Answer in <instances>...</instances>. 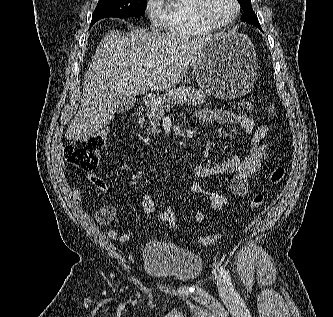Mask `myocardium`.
<instances>
[{"instance_id": "1", "label": "myocardium", "mask_w": 333, "mask_h": 317, "mask_svg": "<svg viewBox=\"0 0 333 317\" xmlns=\"http://www.w3.org/2000/svg\"><path fill=\"white\" fill-rule=\"evenodd\" d=\"M235 12L233 16L224 22L213 21L207 14L208 0H193V13L196 21L203 27L210 30H219L231 26L239 17L241 4L239 0H233Z\"/></svg>"}]
</instances>
